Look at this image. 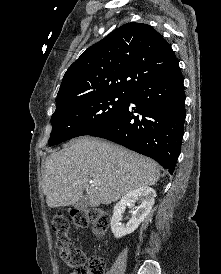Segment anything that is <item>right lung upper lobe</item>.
<instances>
[{
  "mask_svg": "<svg viewBox=\"0 0 221 274\" xmlns=\"http://www.w3.org/2000/svg\"><path fill=\"white\" fill-rule=\"evenodd\" d=\"M178 62L150 25L131 22L89 47L66 71L56 103L103 94H131Z\"/></svg>",
  "mask_w": 221,
  "mask_h": 274,
  "instance_id": "obj_1",
  "label": "right lung upper lobe"
}]
</instances>
